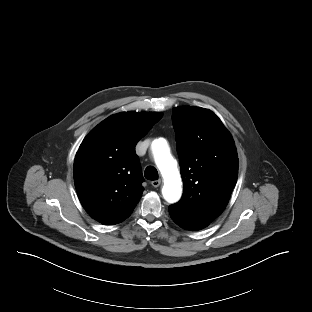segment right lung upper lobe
<instances>
[{"label":"right lung upper lobe","mask_w":312,"mask_h":312,"mask_svg":"<svg viewBox=\"0 0 312 312\" xmlns=\"http://www.w3.org/2000/svg\"><path fill=\"white\" fill-rule=\"evenodd\" d=\"M162 116L158 112L114 114L85 137L74 160V182L92 218L114 225L131 215L144 190L135 146Z\"/></svg>","instance_id":"1"}]
</instances>
